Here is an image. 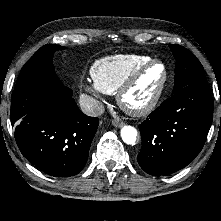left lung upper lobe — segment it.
<instances>
[{
  "label": "left lung upper lobe",
  "mask_w": 221,
  "mask_h": 221,
  "mask_svg": "<svg viewBox=\"0 0 221 221\" xmlns=\"http://www.w3.org/2000/svg\"><path fill=\"white\" fill-rule=\"evenodd\" d=\"M176 63L173 93L193 83H207L199 60L186 48L170 44Z\"/></svg>",
  "instance_id": "1"
}]
</instances>
